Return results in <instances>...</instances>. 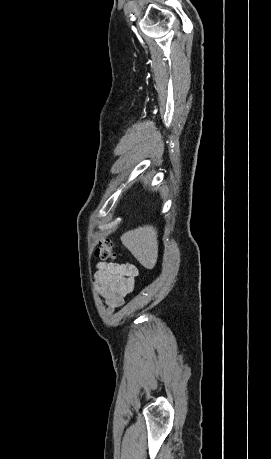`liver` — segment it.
Masks as SVG:
<instances>
[{
	"instance_id": "obj_1",
	"label": "liver",
	"mask_w": 271,
	"mask_h": 459,
	"mask_svg": "<svg viewBox=\"0 0 271 459\" xmlns=\"http://www.w3.org/2000/svg\"><path fill=\"white\" fill-rule=\"evenodd\" d=\"M121 241L144 267L153 269L158 257L156 228L142 226V228L130 229L121 235Z\"/></svg>"
}]
</instances>
